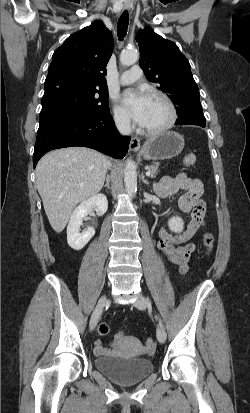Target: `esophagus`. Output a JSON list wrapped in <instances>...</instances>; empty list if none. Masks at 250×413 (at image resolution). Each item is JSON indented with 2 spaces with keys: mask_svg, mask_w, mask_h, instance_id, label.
<instances>
[{
  "mask_svg": "<svg viewBox=\"0 0 250 413\" xmlns=\"http://www.w3.org/2000/svg\"><path fill=\"white\" fill-rule=\"evenodd\" d=\"M130 8L129 4L123 6V10H128ZM140 149V139L137 137H132L129 145V150L137 152Z\"/></svg>",
  "mask_w": 250,
  "mask_h": 413,
  "instance_id": "1",
  "label": "esophagus"
}]
</instances>
